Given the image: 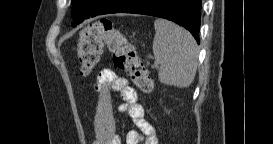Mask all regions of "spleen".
Wrapping results in <instances>:
<instances>
[{"mask_svg":"<svg viewBox=\"0 0 273 144\" xmlns=\"http://www.w3.org/2000/svg\"><path fill=\"white\" fill-rule=\"evenodd\" d=\"M153 54L160 64L159 81L164 85L189 87L197 69V44L183 27L165 20L154 21Z\"/></svg>","mask_w":273,"mask_h":144,"instance_id":"obj_1","label":"spleen"}]
</instances>
